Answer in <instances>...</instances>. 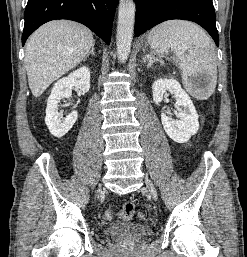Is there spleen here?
<instances>
[{"label":"spleen","instance_id":"3e777b00","mask_svg":"<svg viewBox=\"0 0 247 257\" xmlns=\"http://www.w3.org/2000/svg\"><path fill=\"white\" fill-rule=\"evenodd\" d=\"M148 43L157 53L170 50L180 62L184 87L199 99H207L217 83L215 46L210 37L196 24L183 20L166 21L154 27ZM199 74L207 77L203 89H197L192 79Z\"/></svg>","mask_w":247,"mask_h":257}]
</instances>
